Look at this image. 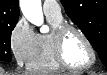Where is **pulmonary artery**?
Wrapping results in <instances>:
<instances>
[{"instance_id":"1","label":"pulmonary artery","mask_w":107,"mask_h":75,"mask_svg":"<svg viewBox=\"0 0 107 75\" xmlns=\"http://www.w3.org/2000/svg\"><path fill=\"white\" fill-rule=\"evenodd\" d=\"M43 11L46 15L60 18L62 17L61 7L57 1L46 0L43 3Z\"/></svg>"}]
</instances>
